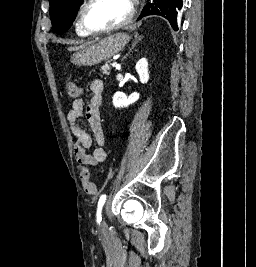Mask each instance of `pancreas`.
<instances>
[{"label":"pancreas","instance_id":"1","mask_svg":"<svg viewBox=\"0 0 256 267\" xmlns=\"http://www.w3.org/2000/svg\"><path fill=\"white\" fill-rule=\"evenodd\" d=\"M101 70H103V74H110V68L108 66V62L107 64H105V66H102Z\"/></svg>","mask_w":256,"mask_h":267}]
</instances>
